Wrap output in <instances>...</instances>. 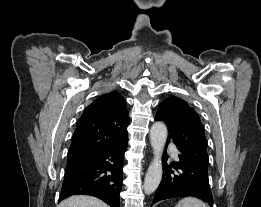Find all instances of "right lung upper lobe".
<instances>
[{
  "label": "right lung upper lobe",
  "instance_id": "right-lung-upper-lobe-1",
  "mask_svg": "<svg viewBox=\"0 0 261 207\" xmlns=\"http://www.w3.org/2000/svg\"><path fill=\"white\" fill-rule=\"evenodd\" d=\"M128 123L126 101L119 93L99 97L78 120L67 161L124 144Z\"/></svg>",
  "mask_w": 261,
  "mask_h": 207
}]
</instances>
